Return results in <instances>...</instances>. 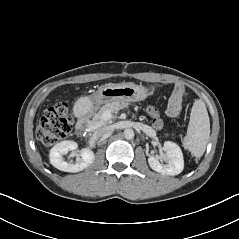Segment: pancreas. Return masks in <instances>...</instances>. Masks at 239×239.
<instances>
[{"instance_id":"cf45deb5","label":"pancreas","mask_w":239,"mask_h":239,"mask_svg":"<svg viewBox=\"0 0 239 239\" xmlns=\"http://www.w3.org/2000/svg\"><path fill=\"white\" fill-rule=\"evenodd\" d=\"M126 107H128V104L120 103L119 101H114V102H111V103H107L103 107H101L99 112L95 115L94 121L95 122L99 121L101 119L102 114L107 110L111 111V113H115L119 109L126 108Z\"/></svg>"}]
</instances>
